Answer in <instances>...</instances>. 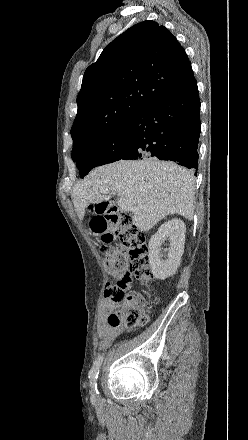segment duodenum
<instances>
[{
	"mask_svg": "<svg viewBox=\"0 0 248 440\" xmlns=\"http://www.w3.org/2000/svg\"><path fill=\"white\" fill-rule=\"evenodd\" d=\"M104 205H105V206H110L111 204H110V203H104Z\"/></svg>",
	"mask_w": 248,
	"mask_h": 440,
	"instance_id": "1",
	"label": "duodenum"
}]
</instances>
